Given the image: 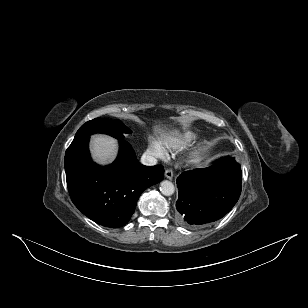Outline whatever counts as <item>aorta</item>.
<instances>
[{"label":"aorta","instance_id":"1","mask_svg":"<svg viewBox=\"0 0 308 308\" xmlns=\"http://www.w3.org/2000/svg\"><path fill=\"white\" fill-rule=\"evenodd\" d=\"M174 185L172 182L165 180L160 183V191L165 196H171L174 193Z\"/></svg>","mask_w":308,"mask_h":308}]
</instances>
